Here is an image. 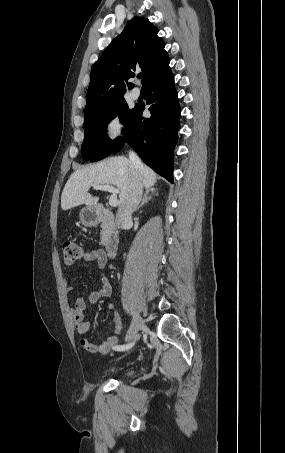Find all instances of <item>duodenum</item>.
Wrapping results in <instances>:
<instances>
[{
    "label": "duodenum",
    "mask_w": 285,
    "mask_h": 453,
    "mask_svg": "<svg viewBox=\"0 0 285 453\" xmlns=\"http://www.w3.org/2000/svg\"><path fill=\"white\" fill-rule=\"evenodd\" d=\"M93 221L105 226L103 245L108 257H114L119 246V236L114 213L103 206H96L93 210Z\"/></svg>",
    "instance_id": "duodenum-1"
}]
</instances>
